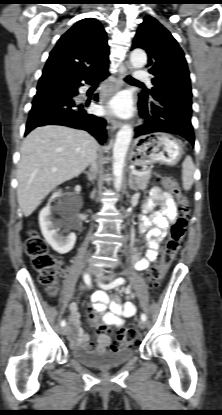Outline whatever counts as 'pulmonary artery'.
Instances as JSON below:
<instances>
[{"label": "pulmonary artery", "mask_w": 222, "mask_h": 415, "mask_svg": "<svg viewBox=\"0 0 222 415\" xmlns=\"http://www.w3.org/2000/svg\"><path fill=\"white\" fill-rule=\"evenodd\" d=\"M134 77L138 82L150 83L149 73L146 70H136L134 72Z\"/></svg>", "instance_id": "pulmonary-artery-1"}]
</instances>
